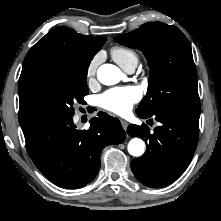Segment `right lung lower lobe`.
I'll use <instances>...</instances> for the list:
<instances>
[{
  "instance_id": "98d812e1",
  "label": "right lung lower lobe",
  "mask_w": 221,
  "mask_h": 221,
  "mask_svg": "<svg viewBox=\"0 0 221 221\" xmlns=\"http://www.w3.org/2000/svg\"><path fill=\"white\" fill-rule=\"evenodd\" d=\"M73 115H54L23 122L21 128L33 163L52 183L76 189L91 182L100 168V154L109 144L124 142L117 118L99 112L88 130H78Z\"/></svg>"
}]
</instances>
